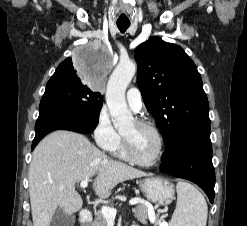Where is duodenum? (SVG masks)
Segmentation results:
<instances>
[{
  "label": "duodenum",
  "instance_id": "obj_1",
  "mask_svg": "<svg viewBox=\"0 0 247 226\" xmlns=\"http://www.w3.org/2000/svg\"><path fill=\"white\" fill-rule=\"evenodd\" d=\"M80 220L83 226H86L91 220V214L88 210H82L80 213Z\"/></svg>",
  "mask_w": 247,
  "mask_h": 226
}]
</instances>
